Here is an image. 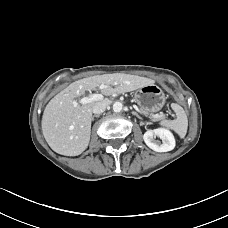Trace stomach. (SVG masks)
<instances>
[{"label": "stomach", "instance_id": "0dacf381", "mask_svg": "<svg viewBox=\"0 0 228 228\" xmlns=\"http://www.w3.org/2000/svg\"><path fill=\"white\" fill-rule=\"evenodd\" d=\"M135 101L146 113L158 112L165 104V96L160 87L155 84L145 85L135 93Z\"/></svg>", "mask_w": 228, "mask_h": 228}]
</instances>
